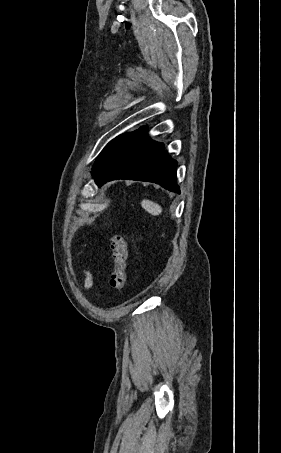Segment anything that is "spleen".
Segmentation results:
<instances>
[{
  "instance_id": "spleen-1",
  "label": "spleen",
  "mask_w": 281,
  "mask_h": 453,
  "mask_svg": "<svg viewBox=\"0 0 281 453\" xmlns=\"http://www.w3.org/2000/svg\"><path fill=\"white\" fill-rule=\"evenodd\" d=\"M141 206H143V208H145L147 212H150V214H154V216L162 212V208L161 206H159V204H157V202H153V200H147V198H144V200H142Z\"/></svg>"
}]
</instances>
